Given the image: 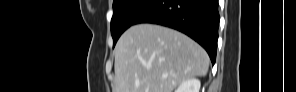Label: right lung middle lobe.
<instances>
[{
  "label": "right lung middle lobe",
  "mask_w": 296,
  "mask_h": 92,
  "mask_svg": "<svg viewBox=\"0 0 296 92\" xmlns=\"http://www.w3.org/2000/svg\"><path fill=\"white\" fill-rule=\"evenodd\" d=\"M155 0H114L111 19V35L115 46L120 35L144 12Z\"/></svg>",
  "instance_id": "dd1d6c3e"
}]
</instances>
